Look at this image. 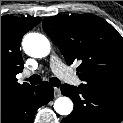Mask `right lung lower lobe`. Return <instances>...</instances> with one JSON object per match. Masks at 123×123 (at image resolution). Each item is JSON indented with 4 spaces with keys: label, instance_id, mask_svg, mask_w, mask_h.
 Instances as JSON below:
<instances>
[{
    "label": "right lung lower lobe",
    "instance_id": "obj_1",
    "mask_svg": "<svg viewBox=\"0 0 123 123\" xmlns=\"http://www.w3.org/2000/svg\"><path fill=\"white\" fill-rule=\"evenodd\" d=\"M53 99V87L46 81L21 95L1 99V123H33L37 109Z\"/></svg>",
    "mask_w": 123,
    "mask_h": 123
}]
</instances>
